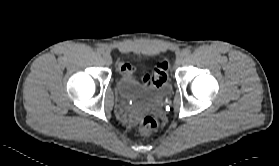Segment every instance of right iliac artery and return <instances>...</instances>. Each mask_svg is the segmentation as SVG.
<instances>
[{"instance_id":"obj_1","label":"right iliac artery","mask_w":279,"mask_h":166,"mask_svg":"<svg viewBox=\"0 0 279 166\" xmlns=\"http://www.w3.org/2000/svg\"><path fill=\"white\" fill-rule=\"evenodd\" d=\"M97 53H98V54L104 53V49H103V48H97Z\"/></svg>"}]
</instances>
